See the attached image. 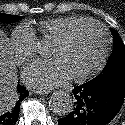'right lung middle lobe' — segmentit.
Wrapping results in <instances>:
<instances>
[{"label": "right lung middle lobe", "instance_id": "obj_1", "mask_svg": "<svg viewBox=\"0 0 125 125\" xmlns=\"http://www.w3.org/2000/svg\"><path fill=\"white\" fill-rule=\"evenodd\" d=\"M21 18L22 16L0 13V21L5 23L15 22L20 20Z\"/></svg>", "mask_w": 125, "mask_h": 125}]
</instances>
